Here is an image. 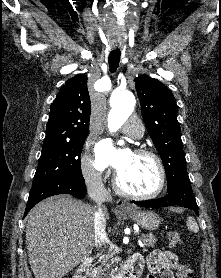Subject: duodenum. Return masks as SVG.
<instances>
[{"mask_svg":"<svg viewBox=\"0 0 221 278\" xmlns=\"http://www.w3.org/2000/svg\"><path fill=\"white\" fill-rule=\"evenodd\" d=\"M88 265V262L84 266H82V269L85 268ZM141 268L138 266V263L135 260H131L123 269V271L120 273L119 278H138L141 274ZM75 278H84L83 270L78 272L75 275Z\"/></svg>","mask_w":221,"mask_h":278,"instance_id":"1","label":"duodenum"}]
</instances>
